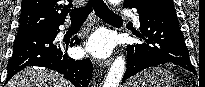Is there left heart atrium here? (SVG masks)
Wrapping results in <instances>:
<instances>
[{
    "label": "left heart atrium",
    "mask_w": 205,
    "mask_h": 87,
    "mask_svg": "<svg viewBox=\"0 0 205 87\" xmlns=\"http://www.w3.org/2000/svg\"><path fill=\"white\" fill-rule=\"evenodd\" d=\"M111 49L110 40L103 34L98 33L93 35L86 47V51L96 57L106 56Z\"/></svg>",
    "instance_id": "39dd6f15"
}]
</instances>
